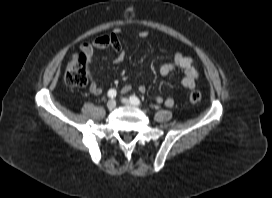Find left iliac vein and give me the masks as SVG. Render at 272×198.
<instances>
[{"mask_svg":"<svg viewBox=\"0 0 272 198\" xmlns=\"http://www.w3.org/2000/svg\"><path fill=\"white\" fill-rule=\"evenodd\" d=\"M121 102L125 105H132L131 101L128 98H122Z\"/></svg>","mask_w":272,"mask_h":198,"instance_id":"obj_1","label":"left iliac vein"}]
</instances>
